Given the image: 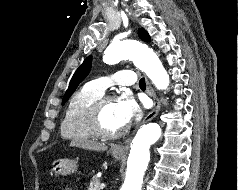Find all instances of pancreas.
Here are the masks:
<instances>
[{
  "label": "pancreas",
  "instance_id": "pancreas-1",
  "mask_svg": "<svg viewBox=\"0 0 238 190\" xmlns=\"http://www.w3.org/2000/svg\"><path fill=\"white\" fill-rule=\"evenodd\" d=\"M100 180L98 177H93L92 180L90 181V185L88 190H101L100 188Z\"/></svg>",
  "mask_w": 238,
  "mask_h": 190
}]
</instances>
